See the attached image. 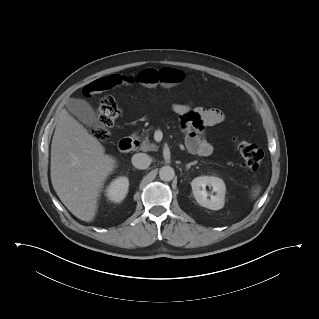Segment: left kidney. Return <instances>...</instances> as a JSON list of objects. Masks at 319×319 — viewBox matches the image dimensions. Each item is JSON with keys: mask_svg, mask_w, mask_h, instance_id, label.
Segmentation results:
<instances>
[{"mask_svg": "<svg viewBox=\"0 0 319 319\" xmlns=\"http://www.w3.org/2000/svg\"><path fill=\"white\" fill-rule=\"evenodd\" d=\"M191 186L193 195L201 206L211 210H219L224 207L226 186L221 178L215 176L196 177L192 180ZM206 186L212 187L213 192H215V195H211L210 199Z\"/></svg>", "mask_w": 319, "mask_h": 319, "instance_id": "left-kidney-1", "label": "left kidney"}]
</instances>
